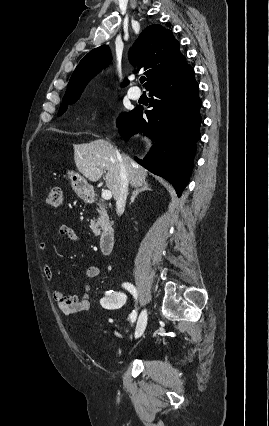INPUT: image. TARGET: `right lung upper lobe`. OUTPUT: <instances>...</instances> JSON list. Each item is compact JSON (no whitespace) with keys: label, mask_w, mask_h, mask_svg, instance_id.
Instances as JSON below:
<instances>
[{"label":"right lung upper lobe","mask_w":269,"mask_h":426,"mask_svg":"<svg viewBox=\"0 0 269 426\" xmlns=\"http://www.w3.org/2000/svg\"><path fill=\"white\" fill-rule=\"evenodd\" d=\"M129 59L133 65L138 66V70L142 68L145 71L147 89L177 74L188 65L172 32L158 24L150 25L142 31L130 48ZM110 60L111 54L107 45L90 51L73 72L63 99L80 96L87 83L106 67ZM126 84L127 80L123 85Z\"/></svg>","instance_id":"cb5924a9"}]
</instances>
